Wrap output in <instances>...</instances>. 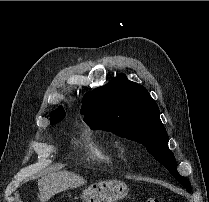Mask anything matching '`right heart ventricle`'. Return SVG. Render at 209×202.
I'll list each match as a JSON object with an SVG mask.
<instances>
[{"label":"right heart ventricle","instance_id":"obj_1","mask_svg":"<svg viewBox=\"0 0 209 202\" xmlns=\"http://www.w3.org/2000/svg\"><path fill=\"white\" fill-rule=\"evenodd\" d=\"M83 142L88 159L106 163H112L115 159L113 146L108 141L98 138L92 132H84Z\"/></svg>","mask_w":209,"mask_h":202}]
</instances>
